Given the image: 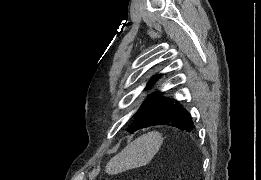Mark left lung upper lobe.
<instances>
[{
  "mask_svg": "<svg viewBox=\"0 0 261 180\" xmlns=\"http://www.w3.org/2000/svg\"><path fill=\"white\" fill-rule=\"evenodd\" d=\"M161 75L153 76L147 83L146 88L151 86ZM173 101L161 96L159 91L149 95L135 115L133 123L127 131L134 133L136 130L151 126L158 117L165 112Z\"/></svg>",
  "mask_w": 261,
  "mask_h": 180,
  "instance_id": "5c2ea615",
  "label": "left lung upper lobe"
}]
</instances>
